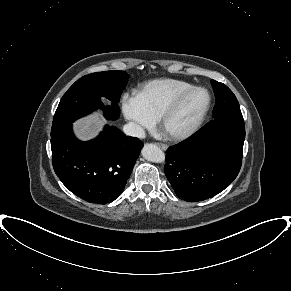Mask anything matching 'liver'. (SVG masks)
Wrapping results in <instances>:
<instances>
[{"instance_id":"1","label":"liver","mask_w":291,"mask_h":291,"mask_svg":"<svg viewBox=\"0 0 291 291\" xmlns=\"http://www.w3.org/2000/svg\"><path fill=\"white\" fill-rule=\"evenodd\" d=\"M100 125L101 121L96 117L81 120L74 124L77 135L83 139L93 138L100 130Z\"/></svg>"}]
</instances>
